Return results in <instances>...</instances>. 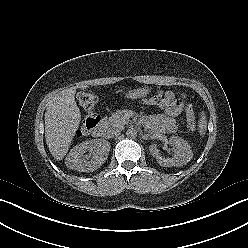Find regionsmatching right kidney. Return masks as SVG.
I'll return each mask as SVG.
<instances>
[{"mask_svg": "<svg viewBox=\"0 0 248 248\" xmlns=\"http://www.w3.org/2000/svg\"><path fill=\"white\" fill-rule=\"evenodd\" d=\"M87 151H89V155L85 154ZM109 151L110 143L108 141L102 139L84 141L71 149L65 164L70 169L92 172L106 161Z\"/></svg>", "mask_w": 248, "mask_h": 248, "instance_id": "1", "label": "right kidney"}]
</instances>
